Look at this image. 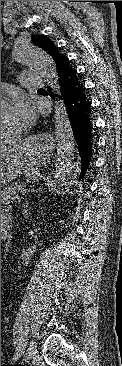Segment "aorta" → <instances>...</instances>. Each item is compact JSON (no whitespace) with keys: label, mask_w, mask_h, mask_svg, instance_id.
Here are the masks:
<instances>
[{"label":"aorta","mask_w":122,"mask_h":366,"mask_svg":"<svg viewBox=\"0 0 122 366\" xmlns=\"http://www.w3.org/2000/svg\"><path fill=\"white\" fill-rule=\"evenodd\" d=\"M13 58L17 63L38 72L56 94L60 93L56 64L42 48L29 43L17 44L13 49ZM54 134L57 148L54 184L59 185L74 168L76 152L74 134L62 100L55 104Z\"/></svg>","instance_id":"obj_1"}]
</instances>
